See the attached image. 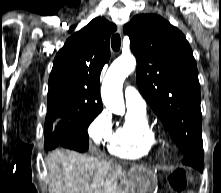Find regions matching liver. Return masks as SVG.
I'll return each mask as SVG.
<instances>
[{
  "label": "liver",
  "instance_id": "liver-1",
  "mask_svg": "<svg viewBox=\"0 0 221 193\" xmlns=\"http://www.w3.org/2000/svg\"><path fill=\"white\" fill-rule=\"evenodd\" d=\"M52 193H118L120 165L99 155L56 149L46 158Z\"/></svg>",
  "mask_w": 221,
  "mask_h": 193
}]
</instances>
